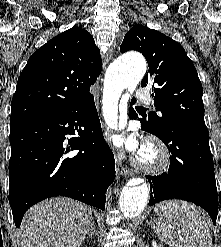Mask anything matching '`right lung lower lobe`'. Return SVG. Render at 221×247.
I'll use <instances>...</instances> for the list:
<instances>
[{
    "instance_id": "98d812e1",
    "label": "right lung lower lobe",
    "mask_w": 221,
    "mask_h": 247,
    "mask_svg": "<svg viewBox=\"0 0 221 247\" xmlns=\"http://www.w3.org/2000/svg\"><path fill=\"white\" fill-rule=\"evenodd\" d=\"M75 131L80 137H66ZM10 145L9 203L16 227L32 205L53 196L104 209L105 192L115 179V160L94 98L61 116L10 124Z\"/></svg>"
}]
</instances>
